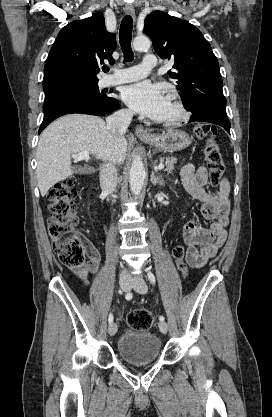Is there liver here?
<instances>
[{"label":"liver","instance_id":"liver-1","mask_svg":"<svg viewBox=\"0 0 272 417\" xmlns=\"http://www.w3.org/2000/svg\"><path fill=\"white\" fill-rule=\"evenodd\" d=\"M87 151L97 159L122 164L126 158L124 132L117 135L99 117L82 114L63 116L41 134L37 147V181L41 196L74 172L72 154Z\"/></svg>","mask_w":272,"mask_h":417}]
</instances>
